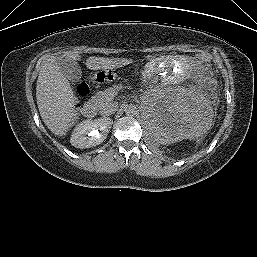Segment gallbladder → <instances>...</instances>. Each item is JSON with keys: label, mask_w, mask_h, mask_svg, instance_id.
Segmentation results:
<instances>
[{"label": "gallbladder", "mask_w": 257, "mask_h": 257, "mask_svg": "<svg viewBox=\"0 0 257 257\" xmlns=\"http://www.w3.org/2000/svg\"><path fill=\"white\" fill-rule=\"evenodd\" d=\"M56 61L61 72L68 80L79 81L81 79L82 71L76 61L68 59L64 54L57 55Z\"/></svg>", "instance_id": "gallbladder-1"}]
</instances>
